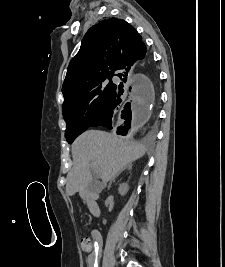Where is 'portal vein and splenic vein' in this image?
Wrapping results in <instances>:
<instances>
[{
    "instance_id": "obj_1",
    "label": "portal vein and splenic vein",
    "mask_w": 225,
    "mask_h": 267,
    "mask_svg": "<svg viewBox=\"0 0 225 267\" xmlns=\"http://www.w3.org/2000/svg\"><path fill=\"white\" fill-rule=\"evenodd\" d=\"M91 167L95 170V172L98 171V168L96 167V163L95 162L91 163Z\"/></svg>"
}]
</instances>
